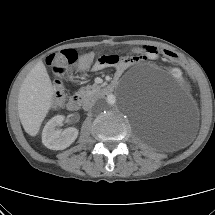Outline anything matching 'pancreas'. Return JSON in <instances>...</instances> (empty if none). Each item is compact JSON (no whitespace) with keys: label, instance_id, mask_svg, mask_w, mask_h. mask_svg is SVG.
Instances as JSON below:
<instances>
[{"label":"pancreas","instance_id":"pancreas-1","mask_svg":"<svg viewBox=\"0 0 215 215\" xmlns=\"http://www.w3.org/2000/svg\"><path fill=\"white\" fill-rule=\"evenodd\" d=\"M99 89H100V86L97 84H93L92 86L82 87L78 91V95L81 97L91 96V95L95 94L96 92H98Z\"/></svg>","mask_w":215,"mask_h":215}]
</instances>
